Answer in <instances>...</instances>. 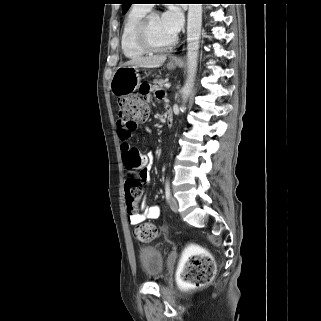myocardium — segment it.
<instances>
[{
  "label": "myocardium",
  "instance_id": "1",
  "mask_svg": "<svg viewBox=\"0 0 321 321\" xmlns=\"http://www.w3.org/2000/svg\"><path fill=\"white\" fill-rule=\"evenodd\" d=\"M155 15H158V13L155 11H152V12L146 13L141 18V20L139 21V23L137 25L136 31H135L136 43L140 48H142L146 52L168 51L176 45L178 38L176 35H174L172 40L165 45L158 46V45L153 44L149 38L148 25H149L150 19Z\"/></svg>",
  "mask_w": 321,
  "mask_h": 321
}]
</instances>
